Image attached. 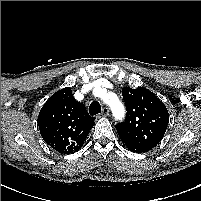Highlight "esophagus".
Masks as SVG:
<instances>
[{"mask_svg":"<svg viewBox=\"0 0 201 201\" xmlns=\"http://www.w3.org/2000/svg\"><path fill=\"white\" fill-rule=\"evenodd\" d=\"M109 108L108 107H104L103 110H102V113L100 114V117L101 116H108L109 115Z\"/></svg>","mask_w":201,"mask_h":201,"instance_id":"1","label":"esophagus"}]
</instances>
